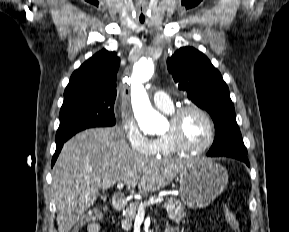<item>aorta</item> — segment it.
<instances>
[{"label":"aorta","instance_id":"1","mask_svg":"<svg viewBox=\"0 0 289 232\" xmlns=\"http://www.w3.org/2000/svg\"><path fill=\"white\" fill-rule=\"evenodd\" d=\"M153 68L152 61L143 58L135 64L133 74L134 114L141 130L148 134L161 132L166 124L164 117L152 108L146 90L142 85L143 82L152 77Z\"/></svg>","mask_w":289,"mask_h":232}]
</instances>
